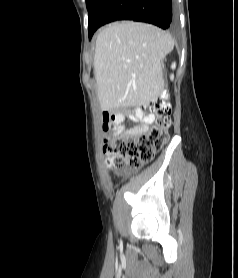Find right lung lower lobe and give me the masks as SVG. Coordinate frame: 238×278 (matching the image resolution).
Masks as SVG:
<instances>
[{"mask_svg":"<svg viewBox=\"0 0 238 278\" xmlns=\"http://www.w3.org/2000/svg\"><path fill=\"white\" fill-rule=\"evenodd\" d=\"M114 20H134L162 29L174 26L172 0H96L89 10L88 34Z\"/></svg>","mask_w":238,"mask_h":278,"instance_id":"98d812e1","label":"right lung lower lobe"}]
</instances>
